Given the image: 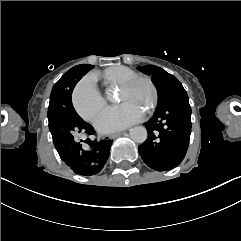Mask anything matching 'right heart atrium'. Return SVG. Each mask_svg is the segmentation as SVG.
Listing matches in <instances>:
<instances>
[{"mask_svg":"<svg viewBox=\"0 0 241 241\" xmlns=\"http://www.w3.org/2000/svg\"><path fill=\"white\" fill-rule=\"evenodd\" d=\"M100 77L89 74L84 77L80 86L72 93V104L78 115L85 121H92L104 108L105 101L96 91L99 88Z\"/></svg>","mask_w":241,"mask_h":241,"instance_id":"1","label":"right heart atrium"}]
</instances>
